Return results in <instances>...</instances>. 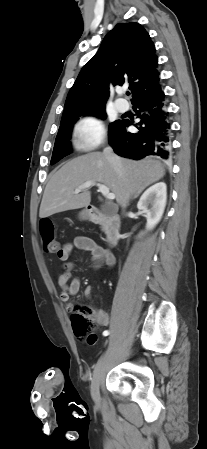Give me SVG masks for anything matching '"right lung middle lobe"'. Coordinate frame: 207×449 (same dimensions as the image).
Returning a JSON list of instances; mask_svg holds the SVG:
<instances>
[{"label": "right lung middle lobe", "instance_id": "right-lung-middle-lobe-1", "mask_svg": "<svg viewBox=\"0 0 207 449\" xmlns=\"http://www.w3.org/2000/svg\"><path fill=\"white\" fill-rule=\"evenodd\" d=\"M93 115L97 116L101 119L106 118L105 109H100L80 115L71 116L65 119L61 120L59 131L55 140V145L53 149V154L51 158V164H55L60 159H62L64 156L68 155L71 151L70 147V138H71V130L73 127V124L78 120V117L82 115ZM120 120H117L109 125V131L108 134L111 133V131L118 125Z\"/></svg>", "mask_w": 207, "mask_h": 449}]
</instances>
